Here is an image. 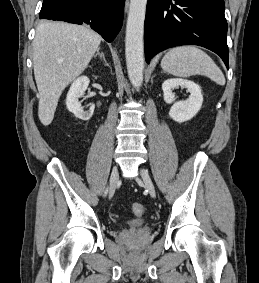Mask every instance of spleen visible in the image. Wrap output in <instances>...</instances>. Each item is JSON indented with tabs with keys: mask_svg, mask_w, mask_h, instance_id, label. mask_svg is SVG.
I'll return each instance as SVG.
<instances>
[{
	"mask_svg": "<svg viewBox=\"0 0 259 283\" xmlns=\"http://www.w3.org/2000/svg\"><path fill=\"white\" fill-rule=\"evenodd\" d=\"M167 73L177 77L205 75L219 85L225 84V77L219 67L204 51L194 46H180L170 49L161 61Z\"/></svg>",
	"mask_w": 259,
	"mask_h": 283,
	"instance_id": "1",
	"label": "spleen"
}]
</instances>
